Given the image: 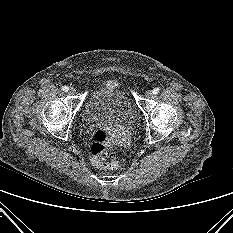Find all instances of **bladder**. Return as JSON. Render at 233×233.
<instances>
[{"mask_svg":"<svg viewBox=\"0 0 233 233\" xmlns=\"http://www.w3.org/2000/svg\"><path fill=\"white\" fill-rule=\"evenodd\" d=\"M137 116L128 95L112 88L95 90L84 104L82 117L85 122H105L120 125L132 124Z\"/></svg>","mask_w":233,"mask_h":233,"instance_id":"bladder-1","label":"bladder"}]
</instances>
